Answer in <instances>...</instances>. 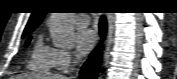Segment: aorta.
<instances>
[{"label": "aorta", "instance_id": "1", "mask_svg": "<svg viewBox=\"0 0 177 79\" xmlns=\"http://www.w3.org/2000/svg\"><path fill=\"white\" fill-rule=\"evenodd\" d=\"M69 13H51L49 30L56 47H69L73 42L74 27Z\"/></svg>", "mask_w": 177, "mask_h": 79}]
</instances>
